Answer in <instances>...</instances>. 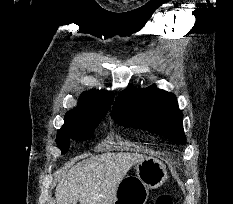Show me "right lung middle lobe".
<instances>
[{"instance_id":"dd1d6c3e","label":"right lung middle lobe","mask_w":233,"mask_h":204,"mask_svg":"<svg viewBox=\"0 0 233 204\" xmlns=\"http://www.w3.org/2000/svg\"><path fill=\"white\" fill-rule=\"evenodd\" d=\"M102 118L104 116L91 117L60 129L57 134L56 143L62 153L68 151L70 138L75 140H88L92 138L93 131Z\"/></svg>"}]
</instances>
